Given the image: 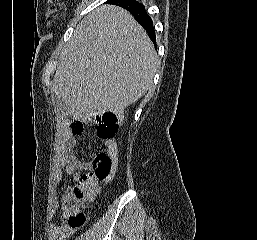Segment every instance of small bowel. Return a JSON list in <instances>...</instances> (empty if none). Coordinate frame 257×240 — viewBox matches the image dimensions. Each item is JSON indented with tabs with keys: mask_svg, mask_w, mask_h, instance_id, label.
Listing matches in <instances>:
<instances>
[{
	"mask_svg": "<svg viewBox=\"0 0 257 240\" xmlns=\"http://www.w3.org/2000/svg\"><path fill=\"white\" fill-rule=\"evenodd\" d=\"M79 134L73 133L67 127H61L55 143V157L53 166V183L59 185L64 175H71L78 181L81 177L80 171H87L91 168V163L80 160L74 153L76 138ZM104 146L107 153L114 159L117 158L118 149L114 139L104 141ZM72 190L68 187L62 196V200ZM59 210V201L54 199L50 207V223L48 225L49 240H66L68 236L74 233V230L69 228L66 223H58L55 215Z\"/></svg>",
	"mask_w": 257,
	"mask_h": 240,
	"instance_id": "obj_1",
	"label": "small bowel"
}]
</instances>
